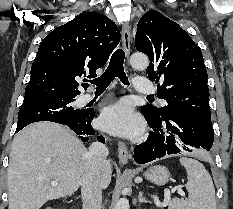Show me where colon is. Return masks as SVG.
Listing matches in <instances>:
<instances>
[{
    "label": "colon",
    "mask_w": 233,
    "mask_h": 209,
    "mask_svg": "<svg viewBox=\"0 0 233 209\" xmlns=\"http://www.w3.org/2000/svg\"><path fill=\"white\" fill-rule=\"evenodd\" d=\"M45 209H53V208H51V207H47V208H45Z\"/></svg>",
    "instance_id": "1"
}]
</instances>
